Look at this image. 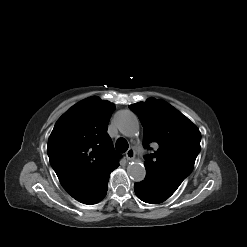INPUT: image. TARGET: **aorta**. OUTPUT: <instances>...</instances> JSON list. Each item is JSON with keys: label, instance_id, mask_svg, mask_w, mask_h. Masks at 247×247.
<instances>
[{"label": "aorta", "instance_id": "1", "mask_svg": "<svg viewBox=\"0 0 247 247\" xmlns=\"http://www.w3.org/2000/svg\"><path fill=\"white\" fill-rule=\"evenodd\" d=\"M115 123L119 131L127 137L135 136L139 129V122L136 115L129 110L118 112L115 118ZM127 173L135 182L144 180L146 176L145 167L140 161L129 163Z\"/></svg>", "mask_w": 247, "mask_h": 247}]
</instances>
